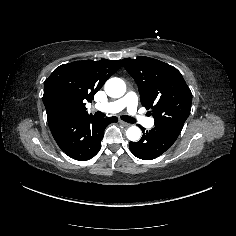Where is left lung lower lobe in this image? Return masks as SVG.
Here are the masks:
<instances>
[{
  "label": "left lung lower lobe",
  "mask_w": 236,
  "mask_h": 236,
  "mask_svg": "<svg viewBox=\"0 0 236 236\" xmlns=\"http://www.w3.org/2000/svg\"><path fill=\"white\" fill-rule=\"evenodd\" d=\"M142 128V127H141ZM141 140L130 142L133 155L143 160H151L166 152L176 141L181 128L175 126L155 125L150 131H144Z\"/></svg>",
  "instance_id": "obj_1"
}]
</instances>
